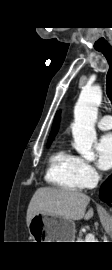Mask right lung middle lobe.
Listing matches in <instances>:
<instances>
[{"label":"right lung middle lobe","instance_id":"obj_1","mask_svg":"<svg viewBox=\"0 0 112 270\" xmlns=\"http://www.w3.org/2000/svg\"><path fill=\"white\" fill-rule=\"evenodd\" d=\"M50 143H51V141H48V143H47V147H49V146H50Z\"/></svg>","mask_w":112,"mask_h":270}]
</instances>
